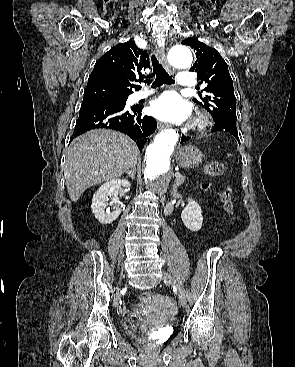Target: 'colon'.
<instances>
[{
    "mask_svg": "<svg viewBox=\"0 0 295 367\" xmlns=\"http://www.w3.org/2000/svg\"><path fill=\"white\" fill-rule=\"evenodd\" d=\"M224 170H225V166H224V163L222 162L214 161V162L207 164L203 170L204 180L200 184L201 188L203 190H211L213 185L210 179L223 174ZM219 197L223 204L224 210L228 213H231L233 211V203L231 200L230 190L229 189L220 190ZM151 295L152 294L150 292H145L143 293L142 297L149 298L151 297Z\"/></svg>",
    "mask_w": 295,
    "mask_h": 367,
    "instance_id": "5ec220e1",
    "label": "colon"
}]
</instances>
